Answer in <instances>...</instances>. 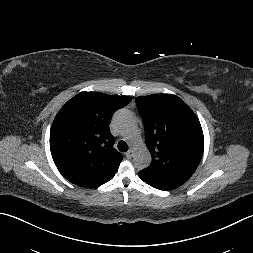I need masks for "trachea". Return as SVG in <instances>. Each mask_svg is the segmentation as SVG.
<instances>
[{"mask_svg": "<svg viewBox=\"0 0 253 253\" xmlns=\"http://www.w3.org/2000/svg\"><path fill=\"white\" fill-rule=\"evenodd\" d=\"M118 149L121 151V152H126L128 151V145L125 141H120L118 143Z\"/></svg>", "mask_w": 253, "mask_h": 253, "instance_id": "obj_1", "label": "trachea"}]
</instances>
